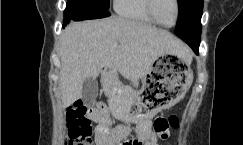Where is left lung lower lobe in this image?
<instances>
[{
	"mask_svg": "<svg viewBox=\"0 0 243 145\" xmlns=\"http://www.w3.org/2000/svg\"><path fill=\"white\" fill-rule=\"evenodd\" d=\"M175 33L184 40L194 52L198 53L201 36V28L199 25L190 23L186 16H181L175 27Z\"/></svg>",
	"mask_w": 243,
	"mask_h": 145,
	"instance_id": "1",
	"label": "left lung lower lobe"
}]
</instances>
